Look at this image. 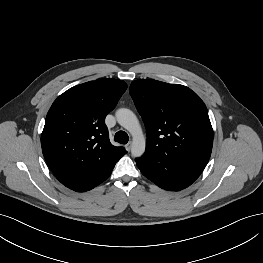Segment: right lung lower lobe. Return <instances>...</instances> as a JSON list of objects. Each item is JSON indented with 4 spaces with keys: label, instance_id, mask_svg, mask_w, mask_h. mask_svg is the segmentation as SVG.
I'll return each mask as SVG.
<instances>
[{
    "label": "right lung lower lobe",
    "instance_id": "1",
    "mask_svg": "<svg viewBox=\"0 0 263 263\" xmlns=\"http://www.w3.org/2000/svg\"><path fill=\"white\" fill-rule=\"evenodd\" d=\"M113 168L110 169L109 171L105 172L104 174L100 175L99 177L95 178L94 180L87 182V183H85V184H83V185H81V186H79L73 190L78 191V192H85V191L93 189L94 187H96L97 185H99L100 183L105 181L110 176Z\"/></svg>",
    "mask_w": 263,
    "mask_h": 263
}]
</instances>
